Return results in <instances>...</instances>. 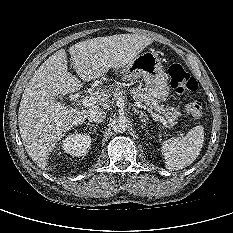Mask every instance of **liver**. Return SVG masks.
Here are the masks:
<instances>
[{"instance_id":"6515ba94","label":"liver","mask_w":233,"mask_h":233,"mask_svg":"<svg viewBox=\"0 0 233 233\" xmlns=\"http://www.w3.org/2000/svg\"><path fill=\"white\" fill-rule=\"evenodd\" d=\"M152 42L144 35L118 34L78 42L70 46L69 53L78 76L89 82L111 68L115 72L125 68ZM81 86V81L68 71L66 51L60 49L38 68L24 90L18 112L21 139L30 158L42 170H48V155L56 143L98 108L93 105L78 110L58 100ZM99 99L108 101V96L101 94Z\"/></svg>"}]
</instances>
